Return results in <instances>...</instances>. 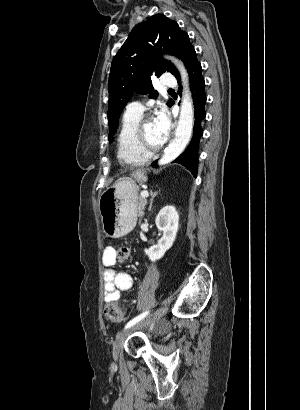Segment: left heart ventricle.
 Listing matches in <instances>:
<instances>
[{
	"label": "left heart ventricle",
	"mask_w": 300,
	"mask_h": 410,
	"mask_svg": "<svg viewBox=\"0 0 300 410\" xmlns=\"http://www.w3.org/2000/svg\"><path fill=\"white\" fill-rule=\"evenodd\" d=\"M144 133L146 140L151 145H159L163 142L156 131L153 120H149L145 123Z\"/></svg>",
	"instance_id": "left-heart-ventricle-1"
}]
</instances>
